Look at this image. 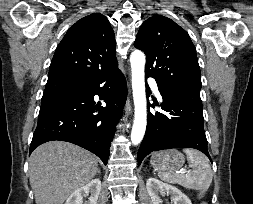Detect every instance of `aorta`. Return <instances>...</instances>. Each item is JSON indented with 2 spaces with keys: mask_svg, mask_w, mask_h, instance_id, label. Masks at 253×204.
Instances as JSON below:
<instances>
[{
  "mask_svg": "<svg viewBox=\"0 0 253 204\" xmlns=\"http://www.w3.org/2000/svg\"><path fill=\"white\" fill-rule=\"evenodd\" d=\"M132 72V90L135 105L134 123L131 132V141L139 144L144 136L147 122L146 93H145V55L139 50L130 56Z\"/></svg>",
  "mask_w": 253,
  "mask_h": 204,
  "instance_id": "aorta-1",
  "label": "aorta"
}]
</instances>
